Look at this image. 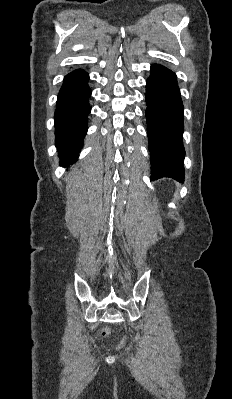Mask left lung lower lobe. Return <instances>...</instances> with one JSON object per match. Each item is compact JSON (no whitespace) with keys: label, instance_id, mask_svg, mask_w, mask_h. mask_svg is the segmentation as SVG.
Returning a JSON list of instances; mask_svg holds the SVG:
<instances>
[{"label":"left lung lower lobe","instance_id":"obj_1","mask_svg":"<svg viewBox=\"0 0 232 399\" xmlns=\"http://www.w3.org/2000/svg\"><path fill=\"white\" fill-rule=\"evenodd\" d=\"M145 97L151 180L184 181L183 104L175 73L153 64Z\"/></svg>","mask_w":232,"mask_h":399}]
</instances>
